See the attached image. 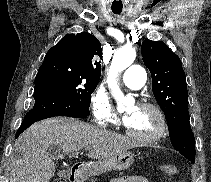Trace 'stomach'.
Masks as SVG:
<instances>
[{
    "label": "stomach",
    "instance_id": "1",
    "mask_svg": "<svg viewBox=\"0 0 211 182\" xmlns=\"http://www.w3.org/2000/svg\"><path fill=\"white\" fill-rule=\"evenodd\" d=\"M134 162V155L130 151H123L109 159L96 162L91 169L81 174L86 178L90 175H100L106 171H123L128 169Z\"/></svg>",
    "mask_w": 211,
    "mask_h": 182
}]
</instances>
